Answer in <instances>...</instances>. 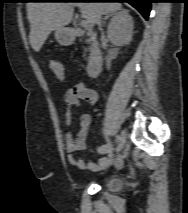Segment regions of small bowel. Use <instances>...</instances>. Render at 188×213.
Instances as JSON below:
<instances>
[{
	"instance_id": "c3829d8e",
	"label": "small bowel",
	"mask_w": 188,
	"mask_h": 213,
	"mask_svg": "<svg viewBox=\"0 0 188 213\" xmlns=\"http://www.w3.org/2000/svg\"><path fill=\"white\" fill-rule=\"evenodd\" d=\"M80 101H87L90 104H96L99 101V94L96 90L88 87L84 83H78L66 89L64 93V102L66 104V112L64 115V123L69 125L72 120L73 113L78 109ZM91 115L83 113L80 116V129L75 138L70 132L65 134L66 150L68 152V162L80 169L97 170L98 168H105L110 163L116 168L123 165V158L116 156L113 153L112 145L106 142L95 148V152L100 155L99 164L92 161H85L75 155L76 151L87 150L90 148L88 143L89 128L91 125Z\"/></svg>"
}]
</instances>
